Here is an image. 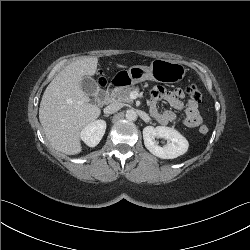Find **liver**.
Here are the masks:
<instances>
[{"instance_id":"1","label":"liver","mask_w":250,"mask_h":250,"mask_svg":"<svg viewBox=\"0 0 250 250\" xmlns=\"http://www.w3.org/2000/svg\"><path fill=\"white\" fill-rule=\"evenodd\" d=\"M97 64V57L68 64L47 86L40 103L39 120L49 143L67 155L82 151L80 132L101 113L98 106L90 103L81 86L85 76L96 73Z\"/></svg>"}]
</instances>
